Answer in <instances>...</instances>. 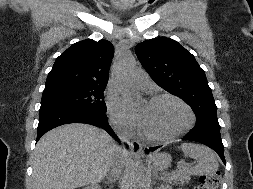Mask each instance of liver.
<instances>
[{"mask_svg": "<svg viewBox=\"0 0 253 189\" xmlns=\"http://www.w3.org/2000/svg\"><path fill=\"white\" fill-rule=\"evenodd\" d=\"M128 153L103 130L88 124H66L39 140L33 157L34 189H76L101 182L113 162Z\"/></svg>", "mask_w": 253, "mask_h": 189, "instance_id": "obj_1", "label": "liver"}]
</instances>
